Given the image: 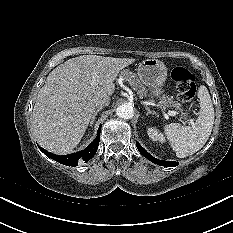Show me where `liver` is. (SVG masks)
I'll list each match as a JSON object with an SVG mask.
<instances>
[{"instance_id": "6515ba94", "label": "liver", "mask_w": 233, "mask_h": 233, "mask_svg": "<svg viewBox=\"0 0 233 233\" xmlns=\"http://www.w3.org/2000/svg\"><path fill=\"white\" fill-rule=\"evenodd\" d=\"M131 58L83 55L57 66L39 90L32 126L40 146L65 154L81 141L97 101L111 96L119 72L134 63ZM92 76L98 86H91Z\"/></svg>"}]
</instances>
